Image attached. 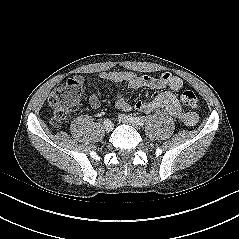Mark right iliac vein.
Instances as JSON below:
<instances>
[{
  "mask_svg": "<svg viewBox=\"0 0 239 239\" xmlns=\"http://www.w3.org/2000/svg\"><path fill=\"white\" fill-rule=\"evenodd\" d=\"M104 128L107 132H110L113 130L114 126H110V125H107V124H104Z\"/></svg>",
  "mask_w": 239,
  "mask_h": 239,
  "instance_id": "1",
  "label": "right iliac vein"
}]
</instances>
